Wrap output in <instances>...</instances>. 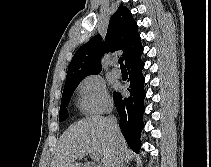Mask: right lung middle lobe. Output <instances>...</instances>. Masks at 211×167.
<instances>
[{"mask_svg": "<svg viewBox=\"0 0 211 167\" xmlns=\"http://www.w3.org/2000/svg\"><path fill=\"white\" fill-rule=\"evenodd\" d=\"M81 80L82 79L65 83L61 101L62 106H60L59 121H64L68 117L66 106L69 103L72 93L74 92L75 88L77 87V85Z\"/></svg>", "mask_w": 211, "mask_h": 167, "instance_id": "dd1d6c3e", "label": "right lung middle lobe"}]
</instances>
